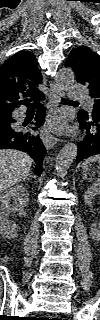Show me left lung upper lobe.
<instances>
[{"label": "left lung upper lobe", "instance_id": "5c2ea615", "mask_svg": "<svg viewBox=\"0 0 100 320\" xmlns=\"http://www.w3.org/2000/svg\"><path fill=\"white\" fill-rule=\"evenodd\" d=\"M66 66L71 67L76 79L90 88V96L94 99L93 111L81 110L80 114L96 116L100 114V57L89 47L80 46L73 49L66 59Z\"/></svg>", "mask_w": 100, "mask_h": 320}]
</instances>
